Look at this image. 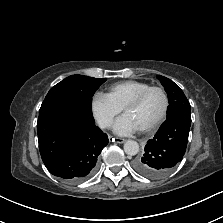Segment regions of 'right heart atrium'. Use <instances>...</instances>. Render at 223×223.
Wrapping results in <instances>:
<instances>
[{
	"mask_svg": "<svg viewBox=\"0 0 223 223\" xmlns=\"http://www.w3.org/2000/svg\"><path fill=\"white\" fill-rule=\"evenodd\" d=\"M91 108L95 119L102 128H108L122 110L107 94L101 92L94 94Z\"/></svg>",
	"mask_w": 223,
	"mask_h": 223,
	"instance_id": "right-heart-atrium-1",
	"label": "right heart atrium"
}]
</instances>
